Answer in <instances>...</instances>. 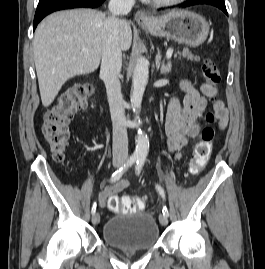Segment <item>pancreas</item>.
<instances>
[{"mask_svg":"<svg viewBox=\"0 0 265 269\" xmlns=\"http://www.w3.org/2000/svg\"><path fill=\"white\" fill-rule=\"evenodd\" d=\"M177 55H179V57H184L192 61L200 60L199 56H194L188 49L185 48L182 51H177L175 57H177Z\"/></svg>","mask_w":265,"mask_h":269,"instance_id":"pancreas-1","label":"pancreas"}]
</instances>
